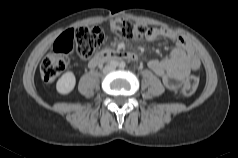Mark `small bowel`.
<instances>
[{
  "mask_svg": "<svg viewBox=\"0 0 238 158\" xmlns=\"http://www.w3.org/2000/svg\"><path fill=\"white\" fill-rule=\"evenodd\" d=\"M165 38L176 47L164 59H152L148 67L161 78L166 88L176 90L191 70L199 66L198 57L192 46L181 36L167 28H154L147 36L150 41Z\"/></svg>",
  "mask_w": 238,
  "mask_h": 158,
  "instance_id": "1",
  "label": "small bowel"
}]
</instances>
